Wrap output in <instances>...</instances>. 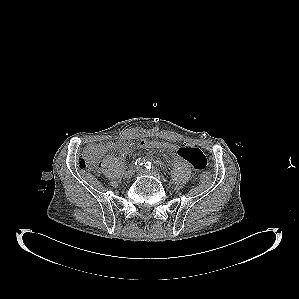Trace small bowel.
Here are the masks:
<instances>
[{
  "label": "small bowel",
  "mask_w": 299,
  "mask_h": 299,
  "mask_svg": "<svg viewBox=\"0 0 299 299\" xmlns=\"http://www.w3.org/2000/svg\"><path fill=\"white\" fill-rule=\"evenodd\" d=\"M119 143L121 147L117 151L122 155H126L130 150V140L124 138L120 140ZM140 144L142 145V149H148L151 145H155L157 148L171 150L175 152L179 158L191 164V166L198 171L203 170L207 166L204 153L191 144H185L180 147L168 142H150L145 139L142 140Z\"/></svg>",
  "instance_id": "obj_1"
}]
</instances>
